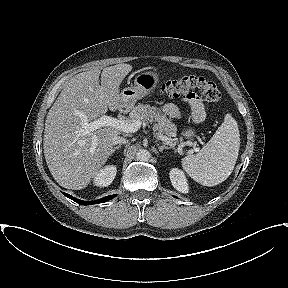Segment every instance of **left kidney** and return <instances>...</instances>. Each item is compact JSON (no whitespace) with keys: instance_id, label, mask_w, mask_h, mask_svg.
Segmentation results:
<instances>
[{"instance_id":"obj_1","label":"left kidney","mask_w":288,"mask_h":288,"mask_svg":"<svg viewBox=\"0 0 288 288\" xmlns=\"http://www.w3.org/2000/svg\"><path fill=\"white\" fill-rule=\"evenodd\" d=\"M169 174L171 183L176 190L182 193L188 192V183L184 173L181 170L178 168H173Z\"/></svg>"}]
</instances>
